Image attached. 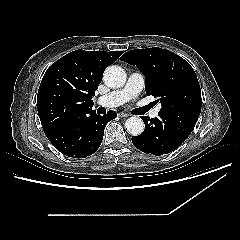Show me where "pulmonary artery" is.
Instances as JSON below:
<instances>
[{
	"instance_id": "e3ab8cb5",
	"label": "pulmonary artery",
	"mask_w": 240,
	"mask_h": 240,
	"mask_svg": "<svg viewBox=\"0 0 240 240\" xmlns=\"http://www.w3.org/2000/svg\"><path fill=\"white\" fill-rule=\"evenodd\" d=\"M144 83V76L139 72H133L129 75L123 88L101 96L97 102L105 107L119 106L136 98L143 90ZM158 113L159 109L155 108L150 112V117L156 118Z\"/></svg>"
}]
</instances>
